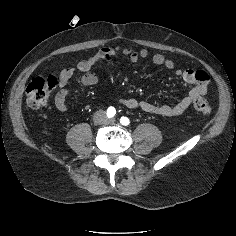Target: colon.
<instances>
[{"mask_svg":"<svg viewBox=\"0 0 236 236\" xmlns=\"http://www.w3.org/2000/svg\"><path fill=\"white\" fill-rule=\"evenodd\" d=\"M59 77L54 75H45L34 78L26 88L27 103L33 109L43 107L49 98L51 91L58 85ZM194 111L209 116L211 106L209 101L204 97H198L193 101Z\"/></svg>","mask_w":236,"mask_h":236,"instance_id":"5ec220e1","label":"colon"}]
</instances>
